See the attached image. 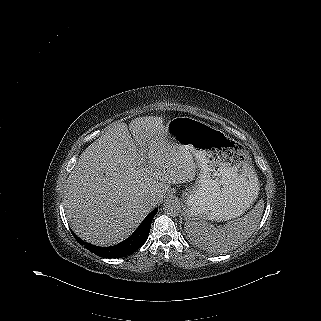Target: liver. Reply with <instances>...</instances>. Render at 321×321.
I'll use <instances>...</instances> for the list:
<instances>
[{
  "mask_svg": "<svg viewBox=\"0 0 321 321\" xmlns=\"http://www.w3.org/2000/svg\"><path fill=\"white\" fill-rule=\"evenodd\" d=\"M168 138L162 118L138 117L129 126L117 123L82 152L64 193L66 217L80 238L98 246L123 241L172 184L194 179L192 154Z\"/></svg>",
  "mask_w": 321,
  "mask_h": 321,
  "instance_id": "liver-1",
  "label": "liver"
}]
</instances>
